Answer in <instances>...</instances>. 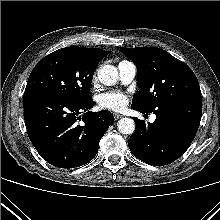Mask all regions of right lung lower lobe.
Returning <instances> with one entry per match:
<instances>
[{
  "label": "right lung lower lobe",
  "instance_id": "right-lung-lower-lobe-1",
  "mask_svg": "<svg viewBox=\"0 0 220 220\" xmlns=\"http://www.w3.org/2000/svg\"><path fill=\"white\" fill-rule=\"evenodd\" d=\"M92 97L73 101L46 91L24 93V118L29 139L51 165L75 168L91 161L99 142L113 123L110 111L88 112L78 125L77 117L92 108Z\"/></svg>",
  "mask_w": 220,
  "mask_h": 220
}]
</instances>
